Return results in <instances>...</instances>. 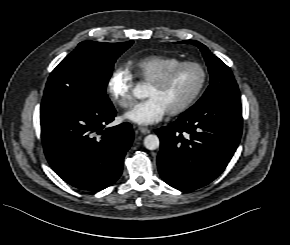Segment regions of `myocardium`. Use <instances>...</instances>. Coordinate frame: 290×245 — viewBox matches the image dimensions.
Here are the masks:
<instances>
[{
	"mask_svg": "<svg viewBox=\"0 0 290 245\" xmlns=\"http://www.w3.org/2000/svg\"><path fill=\"white\" fill-rule=\"evenodd\" d=\"M183 67H196V68H198L201 71L202 79H201V82H200L198 88L195 90V92L183 104H181L180 106H178L172 110L167 111V113L171 116H176V115L184 113L201 96V94L203 93V91L206 87L207 80H208V74H207L205 67L198 62L181 61L179 63L172 65V66L167 67L166 69L161 71L158 75H156L153 79H151L148 82V84H151L154 86H161L167 82V80L169 79V77L171 76V74L173 72H175L176 70L183 68Z\"/></svg>",
	"mask_w": 290,
	"mask_h": 245,
	"instance_id": "1",
	"label": "myocardium"
}]
</instances>
